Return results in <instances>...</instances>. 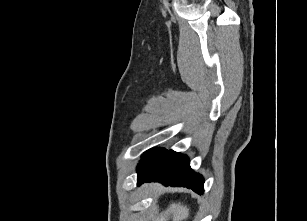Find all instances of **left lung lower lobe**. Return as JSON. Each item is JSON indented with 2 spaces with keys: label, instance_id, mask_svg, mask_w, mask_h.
<instances>
[{
  "label": "left lung lower lobe",
  "instance_id": "1",
  "mask_svg": "<svg viewBox=\"0 0 307 221\" xmlns=\"http://www.w3.org/2000/svg\"><path fill=\"white\" fill-rule=\"evenodd\" d=\"M149 181L162 182L166 186L187 187L198 194L204 191L202 176L193 172L185 155L173 150H166L138 173V186Z\"/></svg>",
  "mask_w": 307,
  "mask_h": 221
}]
</instances>
